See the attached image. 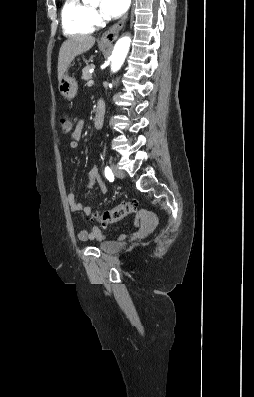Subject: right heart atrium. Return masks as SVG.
Listing matches in <instances>:
<instances>
[{"label": "right heart atrium", "mask_w": 254, "mask_h": 397, "mask_svg": "<svg viewBox=\"0 0 254 397\" xmlns=\"http://www.w3.org/2000/svg\"><path fill=\"white\" fill-rule=\"evenodd\" d=\"M91 16H92L94 23H98L100 21V16L97 13V11L91 10Z\"/></svg>", "instance_id": "1"}]
</instances>
